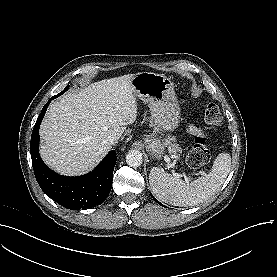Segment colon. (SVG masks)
Segmentation results:
<instances>
[{
  "label": "colon",
  "instance_id": "colon-1",
  "mask_svg": "<svg viewBox=\"0 0 277 277\" xmlns=\"http://www.w3.org/2000/svg\"><path fill=\"white\" fill-rule=\"evenodd\" d=\"M223 118L218 106L208 102L204 111V122L207 128H215L222 124ZM208 138L206 134H200L196 137L188 155L187 163L193 169H198L206 165L210 160V151L208 147Z\"/></svg>",
  "mask_w": 277,
  "mask_h": 277
}]
</instances>
